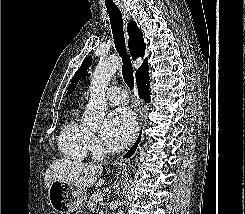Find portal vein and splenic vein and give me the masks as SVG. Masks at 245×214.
Wrapping results in <instances>:
<instances>
[{
	"instance_id": "18ae733b",
	"label": "portal vein and splenic vein",
	"mask_w": 245,
	"mask_h": 214,
	"mask_svg": "<svg viewBox=\"0 0 245 214\" xmlns=\"http://www.w3.org/2000/svg\"><path fill=\"white\" fill-rule=\"evenodd\" d=\"M98 200L99 202H103V196H99Z\"/></svg>"
}]
</instances>
